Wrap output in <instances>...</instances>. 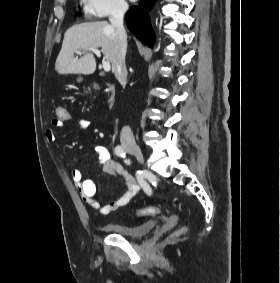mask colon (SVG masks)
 Segmentation results:
<instances>
[{
	"mask_svg": "<svg viewBox=\"0 0 280 283\" xmlns=\"http://www.w3.org/2000/svg\"><path fill=\"white\" fill-rule=\"evenodd\" d=\"M55 116L57 118V122H70L71 114L69 112L68 107H64V105H59V107L55 108ZM159 213V210L155 207H147L140 209L137 214L141 217L154 216Z\"/></svg>",
	"mask_w": 280,
	"mask_h": 283,
	"instance_id": "obj_1",
	"label": "colon"
}]
</instances>
